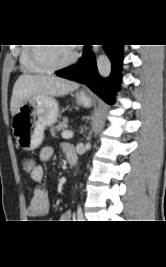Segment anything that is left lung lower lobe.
<instances>
[{
  "label": "left lung lower lobe",
  "mask_w": 166,
  "mask_h": 267,
  "mask_svg": "<svg viewBox=\"0 0 166 267\" xmlns=\"http://www.w3.org/2000/svg\"><path fill=\"white\" fill-rule=\"evenodd\" d=\"M104 49L112 62V73L107 79L99 76L95 57L90 51L89 45H85L83 58L79 64L58 70L55 73L60 77L85 84L104 101L112 104L114 102L113 96L120 84L123 45H104Z\"/></svg>",
  "instance_id": "1"
}]
</instances>
